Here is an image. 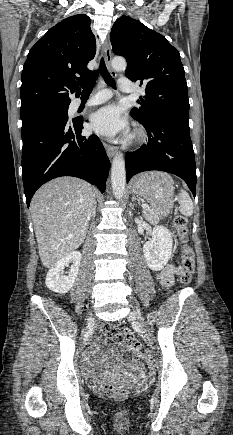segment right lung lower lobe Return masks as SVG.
Returning a JSON list of instances; mask_svg holds the SVG:
<instances>
[{
	"label": "right lung lower lobe",
	"mask_w": 233,
	"mask_h": 435,
	"mask_svg": "<svg viewBox=\"0 0 233 435\" xmlns=\"http://www.w3.org/2000/svg\"><path fill=\"white\" fill-rule=\"evenodd\" d=\"M83 118L48 119L22 129V176L29 208L36 190L60 176H74L105 190L110 161L96 135L81 136Z\"/></svg>",
	"instance_id": "98d812e1"
}]
</instances>
